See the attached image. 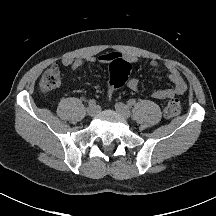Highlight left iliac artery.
Listing matches in <instances>:
<instances>
[{"label":"left iliac artery","mask_w":216,"mask_h":216,"mask_svg":"<svg viewBox=\"0 0 216 216\" xmlns=\"http://www.w3.org/2000/svg\"><path fill=\"white\" fill-rule=\"evenodd\" d=\"M135 103H136L135 99H130V100L128 101V105H129V106H133Z\"/></svg>","instance_id":"left-iliac-artery-1"}]
</instances>
